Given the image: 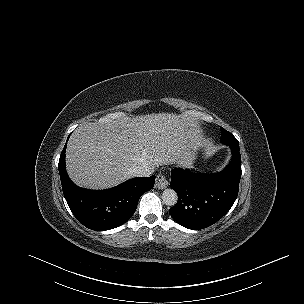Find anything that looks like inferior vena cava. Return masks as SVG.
Wrapping results in <instances>:
<instances>
[{"mask_svg": "<svg viewBox=\"0 0 304 304\" xmlns=\"http://www.w3.org/2000/svg\"><path fill=\"white\" fill-rule=\"evenodd\" d=\"M131 172L135 177H149L153 174L154 167L148 164H142L134 168Z\"/></svg>", "mask_w": 304, "mask_h": 304, "instance_id": "1", "label": "inferior vena cava"}]
</instances>
